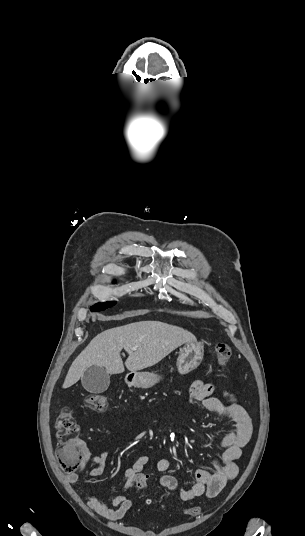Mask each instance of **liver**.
I'll return each mask as SVG.
<instances>
[{"label": "liver", "mask_w": 305, "mask_h": 536, "mask_svg": "<svg viewBox=\"0 0 305 536\" xmlns=\"http://www.w3.org/2000/svg\"><path fill=\"white\" fill-rule=\"evenodd\" d=\"M186 342H196L191 332L163 322H135L105 330L95 336L72 362L62 388L76 384L90 366H102L107 374H122L124 366L120 352L123 348L129 354L125 366L134 374L155 366ZM136 346L137 350H131Z\"/></svg>", "instance_id": "6515ba94"}]
</instances>
